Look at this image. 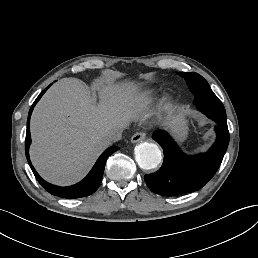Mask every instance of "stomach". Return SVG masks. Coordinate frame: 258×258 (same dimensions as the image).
I'll return each mask as SVG.
<instances>
[{"instance_id": "0dacf381", "label": "stomach", "mask_w": 258, "mask_h": 258, "mask_svg": "<svg viewBox=\"0 0 258 258\" xmlns=\"http://www.w3.org/2000/svg\"><path fill=\"white\" fill-rule=\"evenodd\" d=\"M190 133V122L187 118H184L180 128L178 129L175 138L183 143L187 140Z\"/></svg>"}]
</instances>
